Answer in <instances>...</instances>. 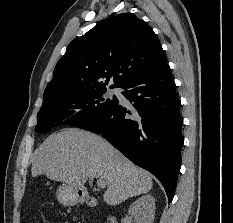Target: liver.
Returning a JSON list of instances; mask_svg holds the SVG:
<instances>
[{
  "label": "liver",
  "mask_w": 233,
  "mask_h": 223,
  "mask_svg": "<svg viewBox=\"0 0 233 223\" xmlns=\"http://www.w3.org/2000/svg\"><path fill=\"white\" fill-rule=\"evenodd\" d=\"M31 175H46L76 187L101 177L107 183L103 199L108 205H118L128 197L148 193L153 187L148 171L134 165L100 135L78 127L52 133L35 149Z\"/></svg>",
  "instance_id": "obj_1"
}]
</instances>
